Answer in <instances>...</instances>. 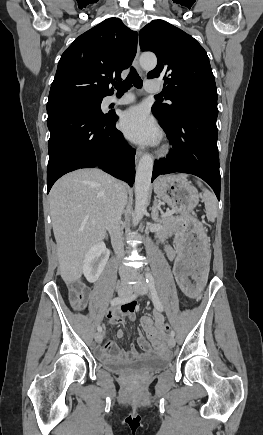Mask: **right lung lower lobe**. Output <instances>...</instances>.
I'll return each instance as SVG.
<instances>
[{
	"label": "right lung lower lobe",
	"mask_w": 263,
	"mask_h": 435,
	"mask_svg": "<svg viewBox=\"0 0 263 435\" xmlns=\"http://www.w3.org/2000/svg\"><path fill=\"white\" fill-rule=\"evenodd\" d=\"M115 113L64 112L48 118L50 139L47 192L62 175L79 168L99 167L133 186L135 150L115 128Z\"/></svg>",
	"instance_id": "1"
}]
</instances>
